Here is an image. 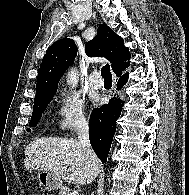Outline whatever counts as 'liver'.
<instances>
[{"instance_id": "liver-1", "label": "liver", "mask_w": 189, "mask_h": 195, "mask_svg": "<svg viewBox=\"0 0 189 195\" xmlns=\"http://www.w3.org/2000/svg\"><path fill=\"white\" fill-rule=\"evenodd\" d=\"M100 161L78 140L43 137L25 148L27 170L49 171L70 183L86 185L98 175Z\"/></svg>"}]
</instances>
